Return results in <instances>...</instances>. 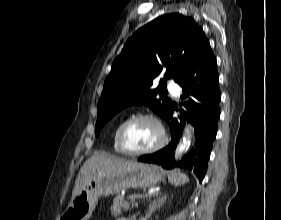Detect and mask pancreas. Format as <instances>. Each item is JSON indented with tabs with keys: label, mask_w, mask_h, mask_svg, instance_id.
Listing matches in <instances>:
<instances>
[{
	"label": "pancreas",
	"mask_w": 281,
	"mask_h": 220,
	"mask_svg": "<svg viewBox=\"0 0 281 220\" xmlns=\"http://www.w3.org/2000/svg\"><path fill=\"white\" fill-rule=\"evenodd\" d=\"M137 207V203L133 202H128L127 200L124 199V196L121 194H118L114 200H113V205L111 206V212L114 215H120L123 211H128L133 206Z\"/></svg>",
	"instance_id": "cf45deb5"
}]
</instances>
